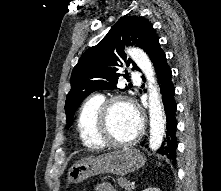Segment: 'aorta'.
Listing matches in <instances>:
<instances>
[{
  "label": "aorta",
  "instance_id": "obj_1",
  "mask_svg": "<svg viewBox=\"0 0 221 191\" xmlns=\"http://www.w3.org/2000/svg\"><path fill=\"white\" fill-rule=\"evenodd\" d=\"M128 54L144 72L148 82L149 113H150V139L149 147L157 150L163 141L165 133V119L162 109L160 90L155 78V71L148 55L139 48L128 49Z\"/></svg>",
  "mask_w": 221,
  "mask_h": 191
}]
</instances>
